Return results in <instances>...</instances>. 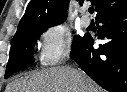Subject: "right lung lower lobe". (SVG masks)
<instances>
[{"mask_svg":"<svg viewBox=\"0 0 127 92\" xmlns=\"http://www.w3.org/2000/svg\"><path fill=\"white\" fill-rule=\"evenodd\" d=\"M99 39L108 42L93 48L91 35L70 56L100 86L111 92H127V8L100 15Z\"/></svg>","mask_w":127,"mask_h":92,"instance_id":"98d812e1","label":"right lung lower lobe"}]
</instances>
